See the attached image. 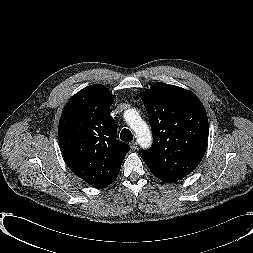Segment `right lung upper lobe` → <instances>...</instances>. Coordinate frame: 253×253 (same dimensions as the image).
<instances>
[{
  "label": "right lung upper lobe",
  "instance_id": "cb5924a9",
  "mask_svg": "<svg viewBox=\"0 0 253 253\" xmlns=\"http://www.w3.org/2000/svg\"><path fill=\"white\" fill-rule=\"evenodd\" d=\"M113 100L105 86H87L69 100L59 121L65 162L75 175L96 188H105L117 178L130 150L116 139V123L110 115Z\"/></svg>",
  "mask_w": 253,
  "mask_h": 253
}]
</instances>
